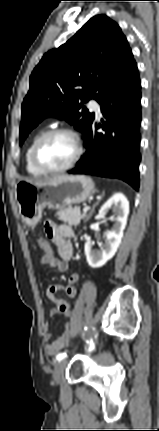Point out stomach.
I'll return each instance as SVG.
<instances>
[{"instance_id":"1","label":"stomach","mask_w":159,"mask_h":431,"mask_svg":"<svg viewBox=\"0 0 159 431\" xmlns=\"http://www.w3.org/2000/svg\"><path fill=\"white\" fill-rule=\"evenodd\" d=\"M95 192L92 179L84 175L58 176L43 182L19 181L15 197L23 222L34 227L46 206L62 209L84 202Z\"/></svg>"}]
</instances>
